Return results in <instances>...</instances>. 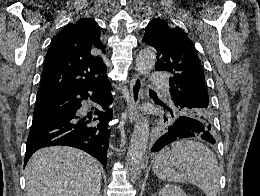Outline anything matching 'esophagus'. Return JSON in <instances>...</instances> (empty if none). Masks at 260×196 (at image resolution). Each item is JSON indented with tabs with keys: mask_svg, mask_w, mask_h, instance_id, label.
Instances as JSON below:
<instances>
[{
	"mask_svg": "<svg viewBox=\"0 0 260 196\" xmlns=\"http://www.w3.org/2000/svg\"><path fill=\"white\" fill-rule=\"evenodd\" d=\"M143 83L139 75H135L130 83V103L128 105V116L130 121H138L140 113V100L142 96Z\"/></svg>",
	"mask_w": 260,
	"mask_h": 196,
	"instance_id": "34e87169",
	"label": "esophagus"
}]
</instances>
